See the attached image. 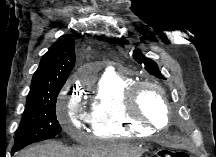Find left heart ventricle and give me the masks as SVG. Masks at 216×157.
<instances>
[{"mask_svg":"<svg viewBox=\"0 0 216 157\" xmlns=\"http://www.w3.org/2000/svg\"><path fill=\"white\" fill-rule=\"evenodd\" d=\"M138 106L140 111L157 125L165 124L166 113L157 91L151 88L143 89L139 96Z\"/></svg>","mask_w":216,"mask_h":157,"instance_id":"left-heart-ventricle-1","label":"left heart ventricle"}]
</instances>
